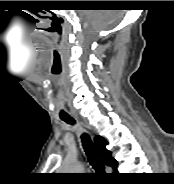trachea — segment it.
<instances>
[{"mask_svg":"<svg viewBox=\"0 0 174 184\" xmlns=\"http://www.w3.org/2000/svg\"><path fill=\"white\" fill-rule=\"evenodd\" d=\"M62 120L68 124H75L74 119L71 117L62 118ZM81 138H82L83 148L86 152V155L88 157L90 164L97 172L103 173L104 172V165H103L102 161L100 160L89 135L86 133H83Z\"/></svg>","mask_w":174,"mask_h":184,"instance_id":"3493384b","label":"trachea"}]
</instances>
